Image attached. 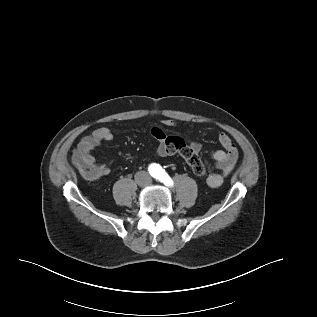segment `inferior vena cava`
Listing matches in <instances>:
<instances>
[{"label": "inferior vena cava", "mask_w": 317, "mask_h": 317, "mask_svg": "<svg viewBox=\"0 0 317 317\" xmlns=\"http://www.w3.org/2000/svg\"><path fill=\"white\" fill-rule=\"evenodd\" d=\"M135 181L139 185H148L151 182V177L145 171H138L135 174Z\"/></svg>", "instance_id": "1"}]
</instances>
